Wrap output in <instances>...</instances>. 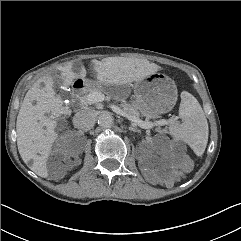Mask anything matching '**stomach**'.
Segmentation results:
<instances>
[{
	"instance_id": "1",
	"label": "stomach",
	"mask_w": 241,
	"mask_h": 241,
	"mask_svg": "<svg viewBox=\"0 0 241 241\" xmlns=\"http://www.w3.org/2000/svg\"><path fill=\"white\" fill-rule=\"evenodd\" d=\"M90 86H99L107 94L118 99L126 90L125 85L106 84L99 81L84 80ZM132 105L146 118L157 119L171 111L177 101V87L174 81L163 73L146 76L133 85Z\"/></svg>"
}]
</instances>
